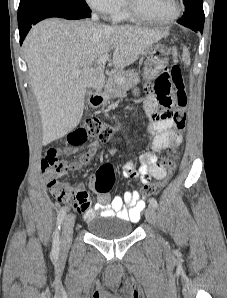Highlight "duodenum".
<instances>
[{"mask_svg":"<svg viewBox=\"0 0 227 298\" xmlns=\"http://www.w3.org/2000/svg\"><path fill=\"white\" fill-rule=\"evenodd\" d=\"M104 100H105V96L100 91H95L90 98V102L93 106L101 105L104 102Z\"/></svg>","mask_w":227,"mask_h":298,"instance_id":"410a0bca","label":"duodenum"}]
</instances>
